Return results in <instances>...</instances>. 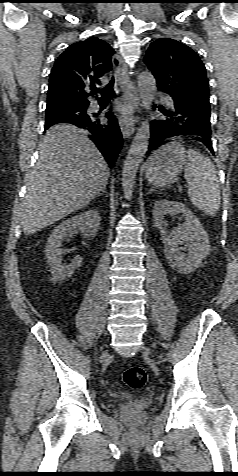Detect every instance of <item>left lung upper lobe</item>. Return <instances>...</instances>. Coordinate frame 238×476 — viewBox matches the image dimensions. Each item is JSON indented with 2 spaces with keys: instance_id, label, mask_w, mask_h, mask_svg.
I'll return each instance as SVG.
<instances>
[{
  "instance_id": "obj_1",
  "label": "left lung upper lobe",
  "mask_w": 238,
  "mask_h": 476,
  "mask_svg": "<svg viewBox=\"0 0 238 476\" xmlns=\"http://www.w3.org/2000/svg\"><path fill=\"white\" fill-rule=\"evenodd\" d=\"M144 62L156 78L158 90L169 94L175 106L210 112L205 66L192 49L160 38L148 48Z\"/></svg>"
}]
</instances>
